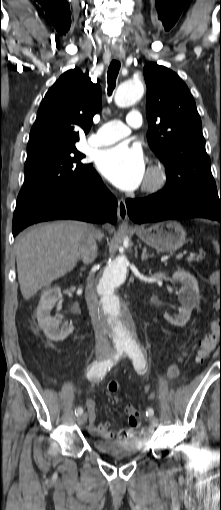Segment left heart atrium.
I'll list each match as a JSON object with an SVG mask.
<instances>
[{
	"label": "left heart atrium",
	"mask_w": 221,
	"mask_h": 510,
	"mask_svg": "<svg viewBox=\"0 0 221 510\" xmlns=\"http://www.w3.org/2000/svg\"><path fill=\"white\" fill-rule=\"evenodd\" d=\"M99 171L115 186L131 191L145 178V159L142 151L125 143L101 150L96 159Z\"/></svg>",
	"instance_id": "left-heart-atrium-1"
}]
</instances>
